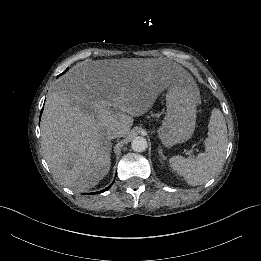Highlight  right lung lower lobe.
<instances>
[{"mask_svg":"<svg viewBox=\"0 0 261 261\" xmlns=\"http://www.w3.org/2000/svg\"><path fill=\"white\" fill-rule=\"evenodd\" d=\"M42 111H43V108H42V110H41V113H42ZM40 117H41V115H40ZM113 184V183H112ZM111 184V185H112ZM111 185L109 186V187H107V188H105L104 190H102V191H100V192H97V194L98 193H102V192H104V191H107L110 187H111ZM87 194H94V193H87Z\"/></svg>","mask_w":261,"mask_h":261,"instance_id":"98d812e1","label":"right lung lower lobe"}]
</instances>
